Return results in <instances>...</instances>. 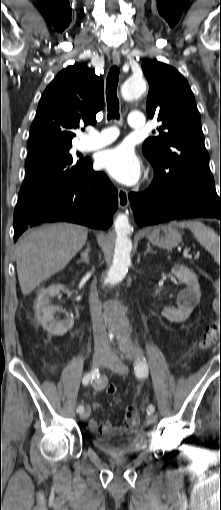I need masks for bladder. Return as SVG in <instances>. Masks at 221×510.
Returning <instances> with one entry per match:
<instances>
[{"mask_svg": "<svg viewBox=\"0 0 221 510\" xmlns=\"http://www.w3.org/2000/svg\"><path fill=\"white\" fill-rule=\"evenodd\" d=\"M93 444L97 450L113 456H132L147 448L146 441L139 436H121L108 434L95 437Z\"/></svg>", "mask_w": 221, "mask_h": 510, "instance_id": "1", "label": "bladder"}]
</instances>
